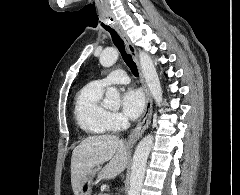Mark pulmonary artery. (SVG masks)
<instances>
[{
	"mask_svg": "<svg viewBox=\"0 0 240 195\" xmlns=\"http://www.w3.org/2000/svg\"><path fill=\"white\" fill-rule=\"evenodd\" d=\"M128 81V75H125V71H114L111 76L103 79V84L108 86L113 83H127Z\"/></svg>",
	"mask_w": 240,
	"mask_h": 195,
	"instance_id": "pulmonary-artery-1",
	"label": "pulmonary artery"
}]
</instances>
